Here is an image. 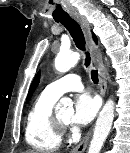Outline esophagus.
<instances>
[{"label":"esophagus","instance_id":"esophagus-1","mask_svg":"<svg viewBox=\"0 0 130 153\" xmlns=\"http://www.w3.org/2000/svg\"><path fill=\"white\" fill-rule=\"evenodd\" d=\"M72 17L80 24V26L84 32L86 42H87L88 48L90 50L93 62L98 69L100 93H101L102 98H104L106 90H107V77H106V72H105V69L103 66L102 55H101L100 49L94 43V41L92 39V35L90 32V25H89L87 19L80 14H73ZM91 134H92V129H90L88 131V133L84 136V138L80 141V143L72 150V153L84 152L87 145H88Z\"/></svg>","mask_w":130,"mask_h":153}]
</instances>
